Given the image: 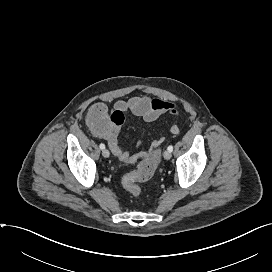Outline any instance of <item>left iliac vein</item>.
Wrapping results in <instances>:
<instances>
[{
    "label": "left iliac vein",
    "instance_id": "4c4485c4",
    "mask_svg": "<svg viewBox=\"0 0 272 272\" xmlns=\"http://www.w3.org/2000/svg\"><path fill=\"white\" fill-rule=\"evenodd\" d=\"M163 156L166 160H169L171 158V152L166 150L164 151Z\"/></svg>",
    "mask_w": 272,
    "mask_h": 272
}]
</instances>
